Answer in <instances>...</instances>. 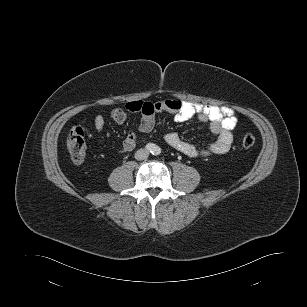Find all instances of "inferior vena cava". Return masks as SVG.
I'll return each instance as SVG.
<instances>
[{
  "mask_svg": "<svg viewBox=\"0 0 307 307\" xmlns=\"http://www.w3.org/2000/svg\"><path fill=\"white\" fill-rule=\"evenodd\" d=\"M149 156V151L146 149H139L135 153V159L137 160H144L147 159Z\"/></svg>",
  "mask_w": 307,
  "mask_h": 307,
  "instance_id": "1",
  "label": "inferior vena cava"
}]
</instances>
